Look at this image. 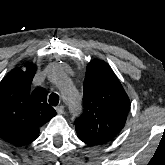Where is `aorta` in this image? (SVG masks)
<instances>
[{
	"instance_id": "obj_1",
	"label": "aorta",
	"mask_w": 165,
	"mask_h": 165,
	"mask_svg": "<svg viewBox=\"0 0 165 165\" xmlns=\"http://www.w3.org/2000/svg\"><path fill=\"white\" fill-rule=\"evenodd\" d=\"M50 80L60 83L67 84L68 88L64 92V99L70 112L77 116L82 109L80 93L71 85L70 79L66 76L62 67H55L49 74Z\"/></svg>"
}]
</instances>
